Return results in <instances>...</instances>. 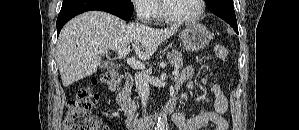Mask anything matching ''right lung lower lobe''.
I'll return each mask as SVG.
<instances>
[{"mask_svg": "<svg viewBox=\"0 0 299 130\" xmlns=\"http://www.w3.org/2000/svg\"><path fill=\"white\" fill-rule=\"evenodd\" d=\"M91 10L105 11L124 20L133 14L131 1L127 0H64L56 22L57 36L71 18Z\"/></svg>", "mask_w": 299, "mask_h": 130, "instance_id": "98d812e1", "label": "right lung lower lobe"}]
</instances>
